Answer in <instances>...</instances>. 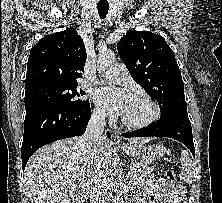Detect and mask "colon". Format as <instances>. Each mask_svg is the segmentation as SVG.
Here are the masks:
<instances>
[{"mask_svg": "<svg viewBox=\"0 0 222 203\" xmlns=\"http://www.w3.org/2000/svg\"><path fill=\"white\" fill-rule=\"evenodd\" d=\"M164 175L166 179L172 184L176 185L177 184V179H176V173L173 167V161L169 159L167 161V165L164 170Z\"/></svg>", "mask_w": 222, "mask_h": 203, "instance_id": "5ec220e1", "label": "colon"}]
</instances>
